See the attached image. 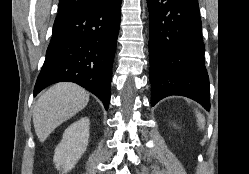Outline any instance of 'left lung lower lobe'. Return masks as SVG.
I'll return each mask as SVG.
<instances>
[{"instance_id": "left-lung-lower-lobe-1", "label": "left lung lower lobe", "mask_w": 249, "mask_h": 174, "mask_svg": "<svg viewBox=\"0 0 249 174\" xmlns=\"http://www.w3.org/2000/svg\"><path fill=\"white\" fill-rule=\"evenodd\" d=\"M150 11L152 106L181 95L210 110L199 6L189 0H147Z\"/></svg>"}]
</instances>
